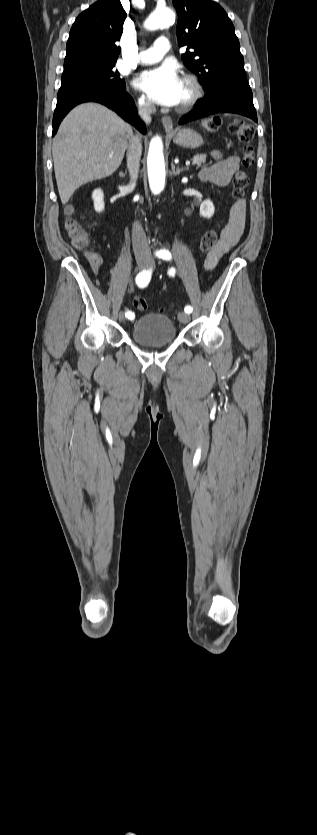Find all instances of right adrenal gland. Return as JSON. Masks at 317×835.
Returning a JSON list of instances; mask_svg holds the SVG:
<instances>
[{
    "instance_id": "right-adrenal-gland-1",
    "label": "right adrenal gland",
    "mask_w": 317,
    "mask_h": 835,
    "mask_svg": "<svg viewBox=\"0 0 317 835\" xmlns=\"http://www.w3.org/2000/svg\"><path fill=\"white\" fill-rule=\"evenodd\" d=\"M125 175H126V172H125V173H123V172H120V173H119V176H120V177H125Z\"/></svg>"
}]
</instances>
